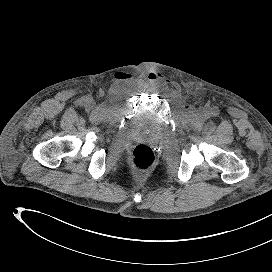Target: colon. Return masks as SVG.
I'll return each instance as SVG.
<instances>
[{"instance_id":"obj_1","label":"colon","mask_w":272,"mask_h":272,"mask_svg":"<svg viewBox=\"0 0 272 272\" xmlns=\"http://www.w3.org/2000/svg\"><path fill=\"white\" fill-rule=\"evenodd\" d=\"M155 155L153 150L144 144H139L131 151L129 163L136 169H148L153 166Z\"/></svg>"}]
</instances>
